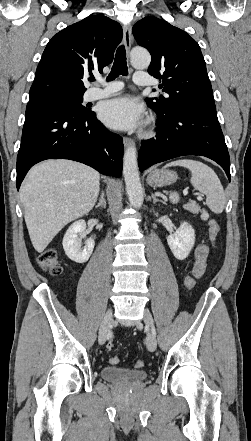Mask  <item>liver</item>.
I'll return each mask as SVG.
<instances>
[{
	"mask_svg": "<svg viewBox=\"0 0 251 441\" xmlns=\"http://www.w3.org/2000/svg\"><path fill=\"white\" fill-rule=\"evenodd\" d=\"M100 174L70 160H48L32 167L20 189L24 218L34 249L41 253L69 222L94 207Z\"/></svg>",
	"mask_w": 251,
	"mask_h": 441,
	"instance_id": "liver-1",
	"label": "liver"
}]
</instances>
